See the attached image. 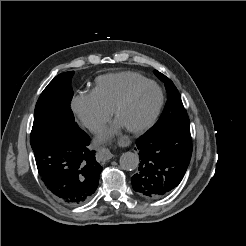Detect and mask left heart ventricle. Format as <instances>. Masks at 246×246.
<instances>
[{
	"label": "left heart ventricle",
	"instance_id": "b2bd125f",
	"mask_svg": "<svg viewBox=\"0 0 246 246\" xmlns=\"http://www.w3.org/2000/svg\"><path fill=\"white\" fill-rule=\"evenodd\" d=\"M158 100V92L152 86L138 91L122 109L118 122L124 127H135L143 124L152 114Z\"/></svg>",
	"mask_w": 246,
	"mask_h": 246
}]
</instances>
